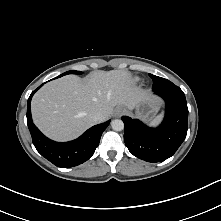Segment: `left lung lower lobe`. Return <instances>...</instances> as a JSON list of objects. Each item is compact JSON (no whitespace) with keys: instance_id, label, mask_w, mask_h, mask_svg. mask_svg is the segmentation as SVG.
<instances>
[{"instance_id":"obj_1","label":"left lung lower lobe","mask_w":221,"mask_h":221,"mask_svg":"<svg viewBox=\"0 0 221 221\" xmlns=\"http://www.w3.org/2000/svg\"><path fill=\"white\" fill-rule=\"evenodd\" d=\"M166 103L165 117L157 128L138 119L121 117L125 125V145L137 158L161 162L171 157L184 141L188 129V107L185 94L178 87L153 90Z\"/></svg>"}]
</instances>
